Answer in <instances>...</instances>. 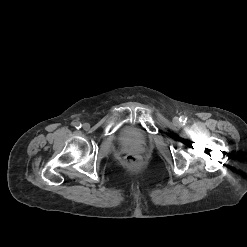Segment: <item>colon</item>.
Instances as JSON below:
<instances>
[{"label": "colon", "instance_id": "obj_1", "mask_svg": "<svg viewBox=\"0 0 247 247\" xmlns=\"http://www.w3.org/2000/svg\"><path fill=\"white\" fill-rule=\"evenodd\" d=\"M125 163L130 167H136L139 163V159L136 155H128L125 158Z\"/></svg>", "mask_w": 247, "mask_h": 247}]
</instances>
